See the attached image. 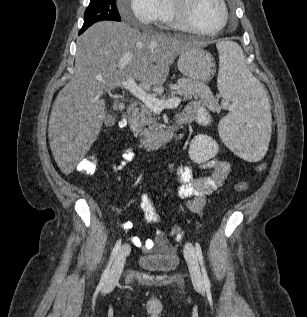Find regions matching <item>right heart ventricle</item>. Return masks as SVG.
<instances>
[{"label":"right heart ventricle","mask_w":307,"mask_h":317,"mask_svg":"<svg viewBox=\"0 0 307 317\" xmlns=\"http://www.w3.org/2000/svg\"><path fill=\"white\" fill-rule=\"evenodd\" d=\"M162 8H163V14L159 21V25L170 27L173 29H180V27L177 25L174 19L170 0H162Z\"/></svg>","instance_id":"right-heart-ventricle-1"}]
</instances>
